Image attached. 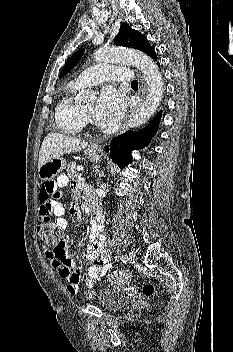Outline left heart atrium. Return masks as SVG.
<instances>
[{"label": "left heart atrium", "mask_w": 233, "mask_h": 352, "mask_svg": "<svg viewBox=\"0 0 233 352\" xmlns=\"http://www.w3.org/2000/svg\"><path fill=\"white\" fill-rule=\"evenodd\" d=\"M125 110L124 95L112 87H106L99 96L93 115L100 126L110 128L118 123Z\"/></svg>", "instance_id": "obj_1"}]
</instances>
